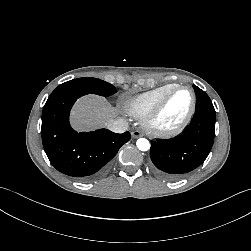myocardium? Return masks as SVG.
Wrapping results in <instances>:
<instances>
[{
	"label": "myocardium",
	"instance_id": "f54148a6",
	"mask_svg": "<svg viewBox=\"0 0 251 251\" xmlns=\"http://www.w3.org/2000/svg\"><path fill=\"white\" fill-rule=\"evenodd\" d=\"M179 90H187L191 94V106L183 118V120L172 128H164L159 126L158 119L165 108L169 98L171 95ZM197 105L196 94L192 88L183 85H175L169 91H167L162 98L158 101V103L154 106V108L144 117L143 125L147 132L152 136L159 138H168L173 137L180 134L190 123L192 120Z\"/></svg>",
	"mask_w": 251,
	"mask_h": 251
}]
</instances>
